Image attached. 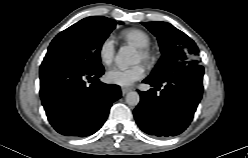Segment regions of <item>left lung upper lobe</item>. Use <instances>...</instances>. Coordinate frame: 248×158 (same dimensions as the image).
<instances>
[{
	"label": "left lung upper lobe",
	"mask_w": 248,
	"mask_h": 158,
	"mask_svg": "<svg viewBox=\"0 0 248 158\" xmlns=\"http://www.w3.org/2000/svg\"><path fill=\"white\" fill-rule=\"evenodd\" d=\"M157 38L162 57L149 78L162 81L176 70L199 64V49L185 33L166 22H142Z\"/></svg>",
	"instance_id": "left-lung-upper-lobe-1"
}]
</instances>
